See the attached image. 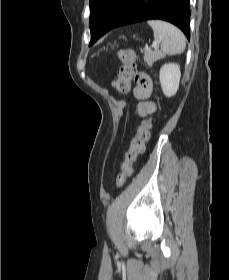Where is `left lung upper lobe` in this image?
<instances>
[{
  "label": "left lung upper lobe",
  "instance_id": "1",
  "mask_svg": "<svg viewBox=\"0 0 229 280\" xmlns=\"http://www.w3.org/2000/svg\"><path fill=\"white\" fill-rule=\"evenodd\" d=\"M132 2L133 0H90V44L113 29L125 15ZM111 5L114 7L109 14L108 8Z\"/></svg>",
  "mask_w": 229,
  "mask_h": 280
}]
</instances>
